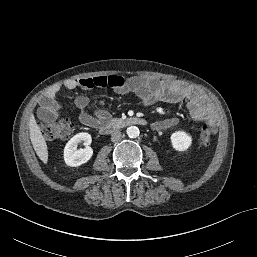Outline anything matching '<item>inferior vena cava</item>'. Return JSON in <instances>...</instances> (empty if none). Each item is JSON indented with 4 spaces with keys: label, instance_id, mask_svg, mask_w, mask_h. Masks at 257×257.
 <instances>
[{
    "label": "inferior vena cava",
    "instance_id": "1",
    "mask_svg": "<svg viewBox=\"0 0 257 257\" xmlns=\"http://www.w3.org/2000/svg\"><path fill=\"white\" fill-rule=\"evenodd\" d=\"M121 132L119 130H115L111 133V141L112 142H117L121 138Z\"/></svg>",
    "mask_w": 257,
    "mask_h": 257
}]
</instances>
